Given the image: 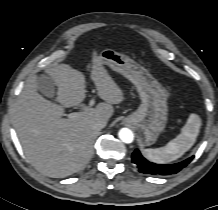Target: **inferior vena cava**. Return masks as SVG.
Listing matches in <instances>:
<instances>
[{
  "instance_id": "inferior-vena-cava-1",
  "label": "inferior vena cava",
  "mask_w": 218,
  "mask_h": 210,
  "mask_svg": "<svg viewBox=\"0 0 218 210\" xmlns=\"http://www.w3.org/2000/svg\"><path fill=\"white\" fill-rule=\"evenodd\" d=\"M106 122L107 121H105V120H98V121L94 122L93 126L95 129L101 130L106 126Z\"/></svg>"
}]
</instances>
